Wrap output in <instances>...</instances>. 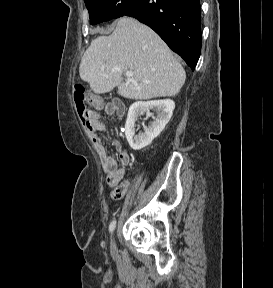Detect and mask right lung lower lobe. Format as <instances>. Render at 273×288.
Returning a JSON list of instances; mask_svg holds the SVG:
<instances>
[{"label":"right lung lower lobe","mask_w":273,"mask_h":288,"mask_svg":"<svg viewBox=\"0 0 273 288\" xmlns=\"http://www.w3.org/2000/svg\"><path fill=\"white\" fill-rule=\"evenodd\" d=\"M124 15L151 27L195 69L201 52L199 0H136Z\"/></svg>","instance_id":"obj_1"}]
</instances>
